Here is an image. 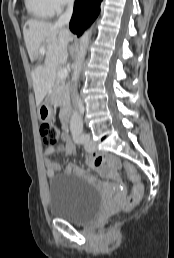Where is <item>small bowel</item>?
<instances>
[{
    "instance_id": "small-bowel-1",
    "label": "small bowel",
    "mask_w": 174,
    "mask_h": 258,
    "mask_svg": "<svg viewBox=\"0 0 174 258\" xmlns=\"http://www.w3.org/2000/svg\"><path fill=\"white\" fill-rule=\"evenodd\" d=\"M62 141V149L65 151L67 156H70L73 152L74 145L71 142L67 133H64L62 135ZM53 153L54 149L51 147L47 148L45 151V154L47 156L52 155ZM86 163L90 168L102 173L107 179L117 180L118 176L116 169L119 165V160L116 156H103L98 154L97 152H92L86 157ZM45 166L49 178H53L56 175V173L60 170V164L50 159L45 160ZM67 171L81 172V169L76 167L74 164H69L67 167ZM91 179L94 180L93 178Z\"/></svg>"
}]
</instances>
